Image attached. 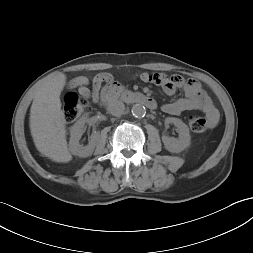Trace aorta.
<instances>
[{
    "label": "aorta",
    "mask_w": 253,
    "mask_h": 253,
    "mask_svg": "<svg viewBox=\"0 0 253 253\" xmlns=\"http://www.w3.org/2000/svg\"><path fill=\"white\" fill-rule=\"evenodd\" d=\"M131 113L135 117H143L146 114V109L142 104H134L131 108Z\"/></svg>",
    "instance_id": "1"
}]
</instances>
